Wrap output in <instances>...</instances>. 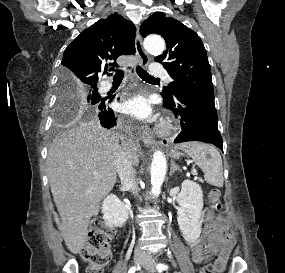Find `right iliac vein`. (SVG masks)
Masks as SVG:
<instances>
[{"mask_svg":"<svg viewBox=\"0 0 285 273\" xmlns=\"http://www.w3.org/2000/svg\"><path fill=\"white\" fill-rule=\"evenodd\" d=\"M133 260L135 264H139L144 260V255L142 253H135Z\"/></svg>","mask_w":285,"mask_h":273,"instance_id":"right-iliac-vein-1","label":"right iliac vein"}]
</instances>
